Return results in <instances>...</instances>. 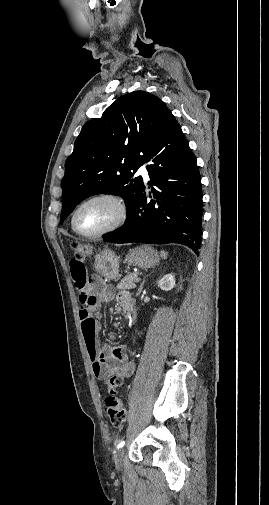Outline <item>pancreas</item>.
Returning a JSON list of instances; mask_svg holds the SVG:
<instances>
[{
  "mask_svg": "<svg viewBox=\"0 0 269 505\" xmlns=\"http://www.w3.org/2000/svg\"><path fill=\"white\" fill-rule=\"evenodd\" d=\"M138 281V273L134 272L125 276L117 285L118 290H129L136 287V282Z\"/></svg>",
  "mask_w": 269,
  "mask_h": 505,
  "instance_id": "pancreas-1",
  "label": "pancreas"
}]
</instances>
